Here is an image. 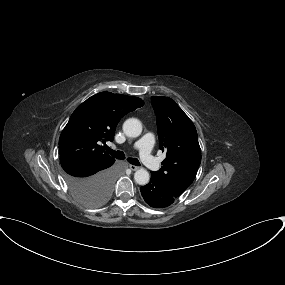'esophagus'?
I'll use <instances>...</instances> for the list:
<instances>
[{
  "mask_svg": "<svg viewBox=\"0 0 285 285\" xmlns=\"http://www.w3.org/2000/svg\"><path fill=\"white\" fill-rule=\"evenodd\" d=\"M129 168L132 170V171H136L138 169L137 166L135 165H129Z\"/></svg>",
  "mask_w": 285,
  "mask_h": 285,
  "instance_id": "1",
  "label": "esophagus"
}]
</instances>
